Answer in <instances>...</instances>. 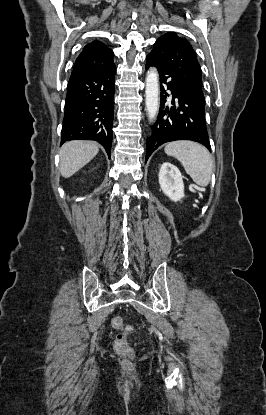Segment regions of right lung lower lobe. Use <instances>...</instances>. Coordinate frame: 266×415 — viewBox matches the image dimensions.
Masks as SVG:
<instances>
[{
	"instance_id": "obj_1",
	"label": "right lung lower lobe",
	"mask_w": 266,
	"mask_h": 415,
	"mask_svg": "<svg viewBox=\"0 0 266 415\" xmlns=\"http://www.w3.org/2000/svg\"><path fill=\"white\" fill-rule=\"evenodd\" d=\"M116 66L95 74L69 79L61 144L70 140H95L110 157L114 116Z\"/></svg>"
}]
</instances>
